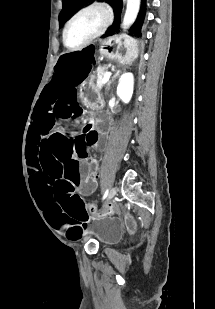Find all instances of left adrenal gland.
Returning <instances> with one entry per match:
<instances>
[{
	"instance_id": "obj_1",
	"label": "left adrenal gland",
	"mask_w": 215,
	"mask_h": 309,
	"mask_svg": "<svg viewBox=\"0 0 215 309\" xmlns=\"http://www.w3.org/2000/svg\"><path fill=\"white\" fill-rule=\"evenodd\" d=\"M118 74H120V70H117V72H115V74H113L110 82H112V80H114V78H116V76H118Z\"/></svg>"
}]
</instances>
